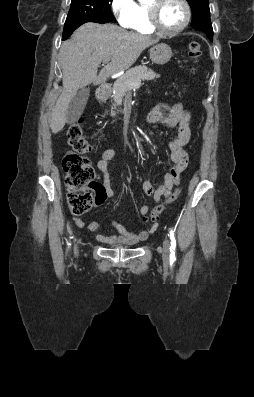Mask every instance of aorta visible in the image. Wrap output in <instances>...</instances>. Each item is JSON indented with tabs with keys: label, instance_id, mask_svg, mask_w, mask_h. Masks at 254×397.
<instances>
[{
	"label": "aorta",
	"instance_id": "762f6f07",
	"mask_svg": "<svg viewBox=\"0 0 254 397\" xmlns=\"http://www.w3.org/2000/svg\"><path fill=\"white\" fill-rule=\"evenodd\" d=\"M140 2H144L145 0H139Z\"/></svg>",
	"mask_w": 254,
	"mask_h": 397
}]
</instances>
